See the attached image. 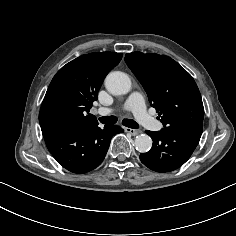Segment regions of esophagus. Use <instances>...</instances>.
<instances>
[{
    "label": "esophagus",
    "instance_id": "esophagus-1",
    "mask_svg": "<svg viewBox=\"0 0 236 236\" xmlns=\"http://www.w3.org/2000/svg\"><path fill=\"white\" fill-rule=\"evenodd\" d=\"M124 130H125V132H127V133H129V134H131L133 136H136V135H138L140 133L139 130L132 129V128H127V127L124 128Z\"/></svg>",
    "mask_w": 236,
    "mask_h": 236
}]
</instances>
